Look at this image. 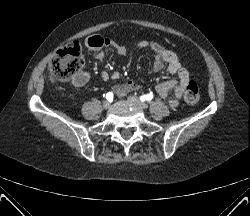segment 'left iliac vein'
I'll use <instances>...</instances> for the list:
<instances>
[{
    "mask_svg": "<svg viewBox=\"0 0 250 216\" xmlns=\"http://www.w3.org/2000/svg\"><path fill=\"white\" fill-rule=\"evenodd\" d=\"M128 100L132 103H134L135 105H137L140 109H145L146 108V104L143 103L138 97L136 96H129Z\"/></svg>",
    "mask_w": 250,
    "mask_h": 216,
    "instance_id": "4c4485c4",
    "label": "left iliac vein"
}]
</instances>
